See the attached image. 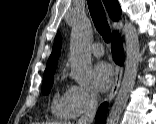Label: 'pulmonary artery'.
<instances>
[{
  "instance_id": "obj_1",
  "label": "pulmonary artery",
  "mask_w": 156,
  "mask_h": 124,
  "mask_svg": "<svg viewBox=\"0 0 156 124\" xmlns=\"http://www.w3.org/2000/svg\"><path fill=\"white\" fill-rule=\"evenodd\" d=\"M91 53L96 57H101L104 53V48L101 43H94L90 47Z\"/></svg>"
}]
</instances>
